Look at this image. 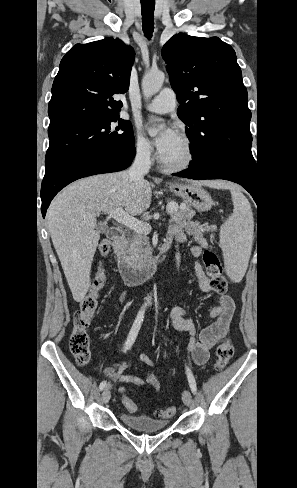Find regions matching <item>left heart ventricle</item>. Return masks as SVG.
<instances>
[{
	"instance_id": "b2bd125f",
	"label": "left heart ventricle",
	"mask_w": 297,
	"mask_h": 488,
	"mask_svg": "<svg viewBox=\"0 0 297 488\" xmlns=\"http://www.w3.org/2000/svg\"><path fill=\"white\" fill-rule=\"evenodd\" d=\"M186 155L185 144L182 139L178 137L161 158L168 163L177 164L182 162L186 158Z\"/></svg>"
}]
</instances>
